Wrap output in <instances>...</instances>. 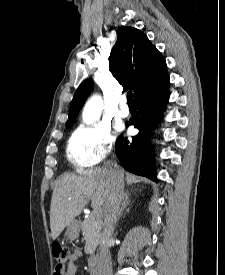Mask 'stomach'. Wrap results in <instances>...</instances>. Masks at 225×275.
I'll return each instance as SVG.
<instances>
[{
  "label": "stomach",
  "instance_id": "1",
  "mask_svg": "<svg viewBox=\"0 0 225 275\" xmlns=\"http://www.w3.org/2000/svg\"><path fill=\"white\" fill-rule=\"evenodd\" d=\"M79 234V224L75 221H72L66 231V236L69 240H75Z\"/></svg>",
  "mask_w": 225,
  "mask_h": 275
}]
</instances>
